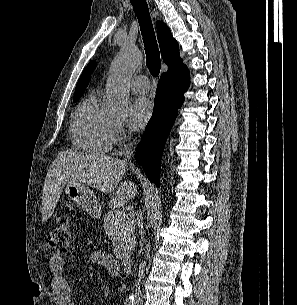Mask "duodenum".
Masks as SVG:
<instances>
[{
    "label": "duodenum",
    "mask_w": 297,
    "mask_h": 305,
    "mask_svg": "<svg viewBox=\"0 0 297 305\" xmlns=\"http://www.w3.org/2000/svg\"><path fill=\"white\" fill-rule=\"evenodd\" d=\"M122 266L125 271V273L130 274L133 269V260L130 257H124L122 259Z\"/></svg>",
    "instance_id": "410a0bca"
}]
</instances>
